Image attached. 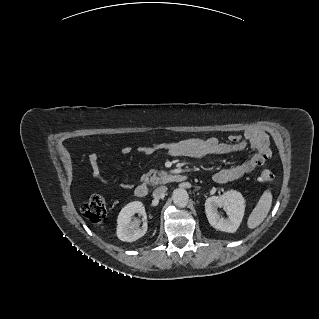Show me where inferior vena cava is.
<instances>
[{
  "instance_id": "inferior-vena-cava-1",
  "label": "inferior vena cava",
  "mask_w": 319,
  "mask_h": 319,
  "mask_svg": "<svg viewBox=\"0 0 319 319\" xmlns=\"http://www.w3.org/2000/svg\"><path fill=\"white\" fill-rule=\"evenodd\" d=\"M166 192H167V187H166V186L157 187V188L153 191V197H154L155 199H159V198H161Z\"/></svg>"
}]
</instances>
